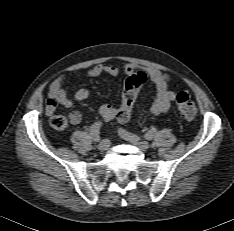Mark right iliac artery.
Returning a JSON list of instances; mask_svg holds the SVG:
<instances>
[{"label":"right iliac artery","mask_w":234,"mask_h":231,"mask_svg":"<svg viewBox=\"0 0 234 231\" xmlns=\"http://www.w3.org/2000/svg\"><path fill=\"white\" fill-rule=\"evenodd\" d=\"M102 122L98 121L95 122L91 127H90V138L94 141V142H98L100 139L99 137V131L101 128Z\"/></svg>","instance_id":"82829eb1"}]
</instances>
